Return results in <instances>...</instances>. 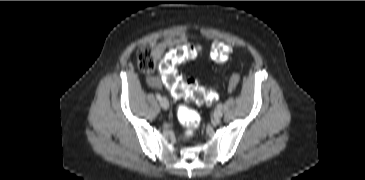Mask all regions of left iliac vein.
Listing matches in <instances>:
<instances>
[{
	"label": "left iliac vein",
	"mask_w": 365,
	"mask_h": 180,
	"mask_svg": "<svg viewBox=\"0 0 365 180\" xmlns=\"http://www.w3.org/2000/svg\"><path fill=\"white\" fill-rule=\"evenodd\" d=\"M222 115H223V113H222L221 109H216L213 113L214 119H216V120L221 119Z\"/></svg>",
	"instance_id": "left-iliac-vein-1"
}]
</instances>
